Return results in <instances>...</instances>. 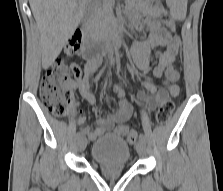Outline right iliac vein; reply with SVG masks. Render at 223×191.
Returning <instances> with one entry per match:
<instances>
[{
	"instance_id": "obj_1",
	"label": "right iliac vein",
	"mask_w": 223,
	"mask_h": 191,
	"mask_svg": "<svg viewBox=\"0 0 223 191\" xmlns=\"http://www.w3.org/2000/svg\"><path fill=\"white\" fill-rule=\"evenodd\" d=\"M87 146V139L83 136L78 138V147L80 151H83Z\"/></svg>"
}]
</instances>
